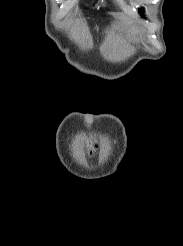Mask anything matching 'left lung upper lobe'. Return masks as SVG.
Wrapping results in <instances>:
<instances>
[{
    "instance_id": "5c2ea615",
    "label": "left lung upper lobe",
    "mask_w": 183,
    "mask_h": 246,
    "mask_svg": "<svg viewBox=\"0 0 183 246\" xmlns=\"http://www.w3.org/2000/svg\"><path fill=\"white\" fill-rule=\"evenodd\" d=\"M140 13H143V10L142 9H140Z\"/></svg>"
}]
</instances>
